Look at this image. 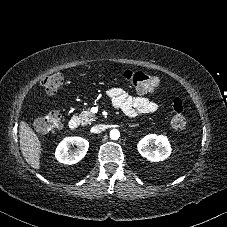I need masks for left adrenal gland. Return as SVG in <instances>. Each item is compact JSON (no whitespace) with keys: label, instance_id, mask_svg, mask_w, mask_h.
Here are the masks:
<instances>
[{"label":"left adrenal gland","instance_id":"a2214340","mask_svg":"<svg viewBox=\"0 0 227 227\" xmlns=\"http://www.w3.org/2000/svg\"><path fill=\"white\" fill-rule=\"evenodd\" d=\"M134 126H136V125H130V127H134Z\"/></svg>","mask_w":227,"mask_h":227}]
</instances>
